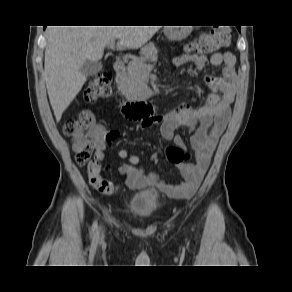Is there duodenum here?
Returning <instances> with one entry per match:
<instances>
[{
	"instance_id": "410a0bca",
	"label": "duodenum",
	"mask_w": 292,
	"mask_h": 292,
	"mask_svg": "<svg viewBox=\"0 0 292 292\" xmlns=\"http://www.w3.org/2000/svg\"><path fill=\"white\" fill-rule=\"evenodd\" d=\"M126 62L122 58L115 60L113 68L117 76V83L119 84L125 73ZM122 109L124 114L131 119L151 120L156 112V105L148 100L133 101L123 100Z\"/></svg>"
}]
</instances>
